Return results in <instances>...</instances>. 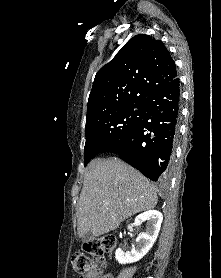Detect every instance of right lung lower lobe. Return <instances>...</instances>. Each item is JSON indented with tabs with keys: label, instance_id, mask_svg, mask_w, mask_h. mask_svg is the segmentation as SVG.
Listing matches in <instances>:
<instances>
[{
	"label": "right lung lower lobe",
	"instance_id": "right-lung-lower-lobe-1",
	"mask_svg": "<svg viewBox=\"0 0 221 278\" xmlns=\"http://www.w3.org/2000/svg\"><path fill=\"white\" fill-rule=\"evenodd\" d=\"M140 123L101 152H115L152 181L168 178L180 113V84L176 77L145 100Z\"/></svg>",
	"mask_w": 221,
	"mask_h": 278
}]
</instances>
